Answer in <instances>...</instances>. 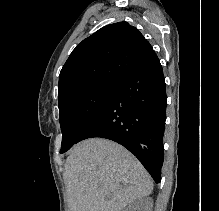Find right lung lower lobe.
<instances>
[{"label":"right lung lower lobe","instance_id":"98d812e1","mask_svg":"<svg viewBox=\"0 0 219 211\" xmlns=\"http://www.w3.org/2000/svg\"><path fill=\"white\" fill-rule=\"evenodd\" d=\"M166 89L159 59L124 78L76 143L93 137L113 140L133 153L161 181Z\"/></svg>","mask_w":219,"mask_h":211}]
</instances>
